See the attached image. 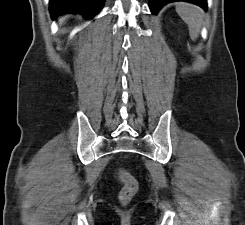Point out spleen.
I'll use <instances>...</instances> for the list:
<instances>
[{
  "mask_svg": "<svg viewBox=\"0 0 245 225\" xmlns=\"http://www.w3.org/2000/svg\"><path fill=\"white\" fill-rule=\"evenodd\" d=\"M176 12L188 25L191 39L195 40L203 25L204 11L196 5L181 2L176 5Z\"/></svg>",
  "mask_w": 245,
  "mask_h": 225,
  "instance_id": "obj_1",
  "label": "spleen"
}]
</instances>
